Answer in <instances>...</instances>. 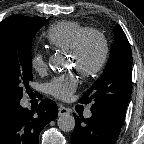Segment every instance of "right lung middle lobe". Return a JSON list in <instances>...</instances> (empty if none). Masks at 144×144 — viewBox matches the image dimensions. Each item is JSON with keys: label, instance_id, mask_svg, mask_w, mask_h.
Here are the masks:
<instances>
[{"label": "right lung middle lobe", "instance_id": "right-lung-middle-lobe-1", "mask_svg": "<svg viewBox=\"0 0 144 144\" xmlns=\"http://www.w3.org/2000/svg\"><path fill=\"white\" fill-rule=\"evenodd\" d=\"M46 19L15 15L0 23V91L13 104L32 81L31 43Z\"/></svg>", "mask_w": 144, "mask_h": 144}]
</instances>
